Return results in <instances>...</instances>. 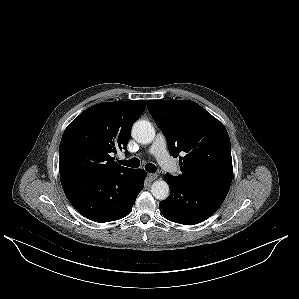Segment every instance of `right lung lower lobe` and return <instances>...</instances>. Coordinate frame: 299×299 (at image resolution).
Instances as JSON below:
<instances>
[{"instance_id":"1","label":"right lung lower lobe","mask_w":299,"mask_h":299,"mask_svg":"<svg viewBox=\"0 0 299 299\" xmlns=\"http://www.w3.org/2000/svg\"><path fill=\"white\" fill-rule=\"evenodd\" d=\"M146 172L135 169L129 174H106L93 179L61 181L74 208L95 222H109L129 214L144 187Z\"/></svg>"}]
</instances>
